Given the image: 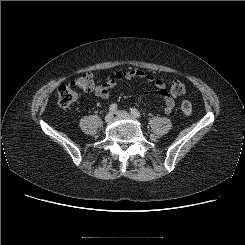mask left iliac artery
Wrapping results in <instances>:
<instances>
[{
	"instance_id": "left-iliac-artery-1",
	"label": "left iliac artery",
	"mask_w": 245,
	"mask_h": 245,
	"mask_svg": "<svg viewBox=\"0 0 245 245\" xmlns=\"http://www.w3.org/2000/svg\"><path fill=\"white\" fill-rule=\"evenodd\" d=\"M131 114L134 115L137 118H140L141 117L140 112L137 109H135V108H132L131 109Z\"/></svg>"
}]
</instances>
